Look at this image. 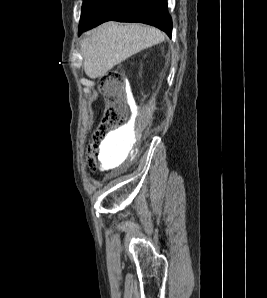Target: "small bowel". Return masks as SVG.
<instances>
[{
	"label": "small bowel",
	"instance_id": "c3829d8e",
	"mask_svg": "<svg viewBox=\"0 0 267 298\" xmlns=\"http://www.w3.org/2000/svg\"><path fill=\"white\" fill-rule=\"evenodd\" d=\"M118 136L115 132L111 133L109 136H108V143L109 144H113L116 142Z\"/></svg>",
	"mask_w": 267,
	"mask_h": 298
}]
</instances>
